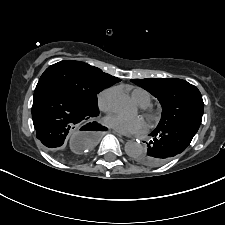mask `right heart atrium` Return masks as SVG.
<instances>
[{"mask_svg":"<svg viewBox=\"0 0 225 225\" xmlns=\"http://www.w3.org/2000/svg\"><path fill=\"white\" fill-rule=\"evenodd\" d=\"M115 94L114 88H107L101 91L97 96L98 108L106 113H109L113 109V97Z\"/></svg>","mask_w":225,"mask_h":225,"instance_id":"d8ad5b80","label":"right heart atrium"}]
</instances>
